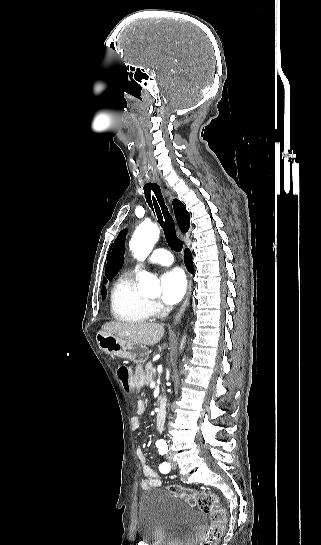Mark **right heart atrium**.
<instances>
[{
	"label": "right heart atrium",
	"mask_w": 321,
	"mask_h": 545,
	"mask_svg": "<svg viewBox=\"0 0 321 545\" xmlns=\"http://www.w3.org/2000/svg\"><path fill=\"white\" fill-rule=\"evenodd\" d=\"M149 307L155 316H161L163 314V309L159 304H150Z\"/></svg>",
	"instance_id": "d8ad5b80"
}]
</instances>
